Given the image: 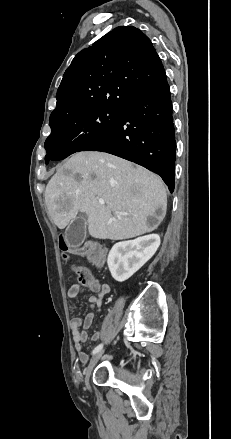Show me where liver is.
<instances>
[{"label":"liver","instance_id":"1","mask_svg":"<svg viewBox=\"0 0 231 439\" xmlns=\"http://www.w3.org/2000/svg\"><path fill=\"white\" fill-rule=\"evenodd\" d=\"M45 204L59 229L82 212L92 237L123 240L156 228L166 214L167 194L156 174L120 157L90 151L78 152L59 166L46 186Z\"/></svg>","mask_w":231,"mask_h":439}]
</instances>
